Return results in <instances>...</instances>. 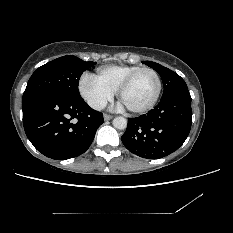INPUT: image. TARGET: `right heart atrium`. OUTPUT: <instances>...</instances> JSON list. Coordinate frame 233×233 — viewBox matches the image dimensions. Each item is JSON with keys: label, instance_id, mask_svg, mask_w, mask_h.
<instances>
[{"label": "right heart atrium", "instance_id": "obj_1", "mask_svg": "<svg viewBox=\"0 0 233 233\" xmlns=\"http://www.w3.org/2000/svg\"><path fill=\"white\" fill-rule=\"evenodd\" d=\"M79 92L85 102L95 110L104 109L114 96V93L96 82L92 76L82 77Z\"/></svg>", "mask_w": 233, "mask_h": 233}]
</instances>
